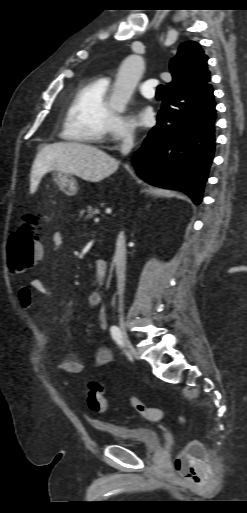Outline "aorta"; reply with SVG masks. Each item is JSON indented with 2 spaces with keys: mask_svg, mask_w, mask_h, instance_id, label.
I'll return each mask as SVG.
<instances>
[{
  "mask_svg": "<svg viewBox=\"0 0 247 513\" xmlns=\"http://www.w3.org/2000/svg\"><path fill=\"white\" fill-rule=\"evenodd\" d=\"M144 70V60L139 55H130L122 62L113 93L110 97V107L122 113L130 100L134 89Z\"/></svg>",
  "mask_w": 247,
  "mask_h": 513,
  "instance_id": "762f6f07",
  "label": "aorta"
}]
</instances>
